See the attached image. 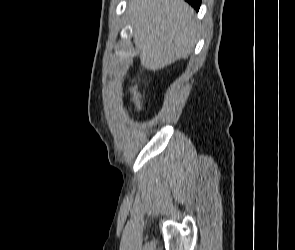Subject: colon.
Listing matches in <instances>:
<instances>
[{"label": "colon", "instance_id": "obj_1", "mask_svg": "<svg viewBox=\"0 0 295 250\" xmlns=\"http://www.w3.org/2000/svg\"><path fill=\"white\" fill-rule=\"evenodd\" d=\"M131 102L136 109H140L142 106V93L137 86L131 88Z\"/></svg>", "mask_w": 295, "mask_h": 250}]
</instances>
